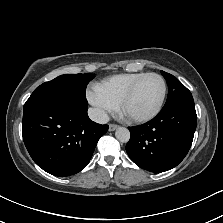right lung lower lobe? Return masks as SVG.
I'll return each mask as SVG.
<instances>
[{"instance_id": "obj_1", "label": "right lung lower lobe", "mask_w": 223, "mask_h": 223, "mask_svg": "<svg viewBox=\"0 0 223 223\" xmlns=\"http://www.w3.org/2000/svg\"><path fill=\"white\" fill-rule=\"evenodd\" d=\"M87 110L88 106L80 104L54 103L23 111V140L40 168L64 177L88 164L108 125L91 121Z\"/></svg>"}]
</instances>
